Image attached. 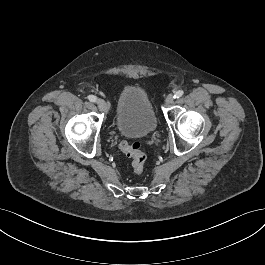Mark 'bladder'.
Here are the masks:
<instances>
[{"label": "bladder", "instance_id": "31cf9c89", "mask_svg": "<svg viewBox=\"0 0 265 265\" xmlns=\"http://www.w3.org/2000/svg\"><path fill=\"white\" fill-rule=\"evenodd\" d=\"M115 125L120 134L130 138H145L157 128V118L152 103L139 86H127L119 94Z\"/></svg>", "mask_w": 265, "mask_h": 265}]
</instances>
